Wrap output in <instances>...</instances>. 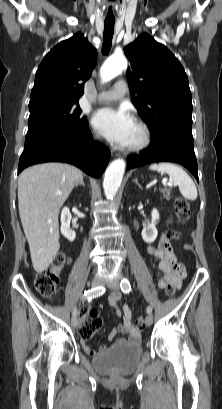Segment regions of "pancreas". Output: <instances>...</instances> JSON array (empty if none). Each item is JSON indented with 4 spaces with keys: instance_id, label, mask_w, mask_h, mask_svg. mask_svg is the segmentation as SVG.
Here are the masks:
<instances>
[{
    "instance_id": "cf45deb5",
    "label": "pancreas",
    "mask_w": 222,
    "mask_h": 409,
    "mask_svg": "<svg viewBox=\"0 0 222 409\" xmlns=\"http://www.w3.org/2000/svg\"><path fill=\"white\" fill-rule=\"evenodd\" d=\"M160 192L162 193L164 198H166L167 200L170 199V189L164 188L161 189Z\"/></svg>"
}]
</instances>
